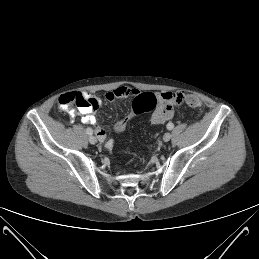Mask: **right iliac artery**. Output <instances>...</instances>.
<instances>
[{"mask_svg": "<svg viewBox=\"0 0 259 259\" xmlns=\"http://www.w3.org/2000/svg\"><path fill=\"white\" fill-rule=\"evenodd\" d=\"M86 133L89 134V135H92L93 134V130L91 128H87L86 129Z\"/></svg>", "mask_w": 259, "mask_h": 259, "instance_id": "1", "label": "right iliac artery"}]
</instances>
